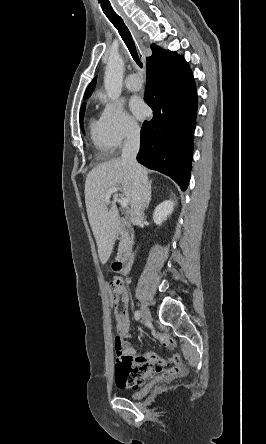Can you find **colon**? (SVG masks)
<instances>
[{"mask_svg":"<svg viewBox=\"0 0 266 444\" xmlns=\"http://www.w3.org/2000/svg\"><path fill=\"white\" fill-rule=\"evenodd\" d=\"M123 289V283L119 279H113L109 284V294H110V306L117 311L118 303L120 299V294Z\"/></svg>","mask_w":266,"mask_h":444,"instance_id":"1","label":"colon"}]
</instances>
